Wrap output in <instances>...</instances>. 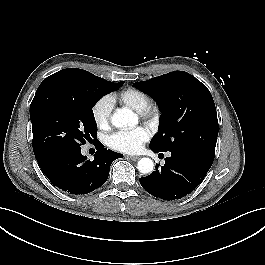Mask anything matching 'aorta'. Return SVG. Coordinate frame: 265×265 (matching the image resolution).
Listing matches in <instances>:
<instances>
[{"instance_id":"762f6f07","label":"aorta","mask_w":265,"mask_h":265,"mask_svg":"<svg viewBox=\"0 0 265 265\" xmlns=\"http://www.w3.org/2000/svg\"><path fill=\"white\" fill-rule=\"evenodd\" d=\"M111 123L116 128H127L136 125L137 116L127 108L117 109L111 117ZM138 170L143 174L153 171L154 163L150 158H141L137 164Z\"/></svg>"}]
</instances>
